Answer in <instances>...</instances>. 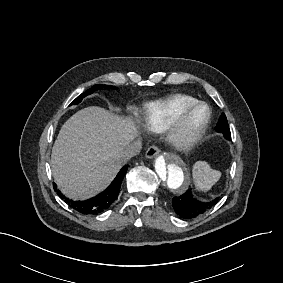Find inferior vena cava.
Here are the masks:
<instances>
[{
  "label": "inferior vena cava",
  "instance_id": "inferior-vena-cava-1",
  "mask_svg": "<svg viewBox=\"0 0 283 283\" xmlns=\"http://www.w3.org/2000/svg\"><path fill=\"white\" fill-rule=\"evenodd\" d=\"M142 150V145L139 140L133 141L132 143L128 144L125 149L123 150L120 158L123 161H126L132 157H136L140 154Z\"/></svg>",
  "mask_w": 283,
  "mask_h": 283
}]
</instances>
